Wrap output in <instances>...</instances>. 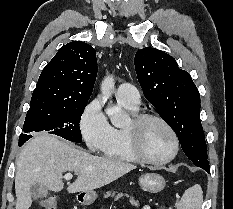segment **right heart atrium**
<instances>
[{"label": "right heart atrium", "instance_id": "1", "mask_svg": "<svg viewBox=\"0 0 233 209\" xmlns=\"http://www.w3.org/2000/svg\"><path fill=\"white\" fill-rule=\"evenodd\" d=\"M79 125L82 137L92 151L102 150L112 139L113 127L108 122L97 98L86 105Z\"/></svg>", "mask_w": 233, "mask_h": 209}]
</instances>
